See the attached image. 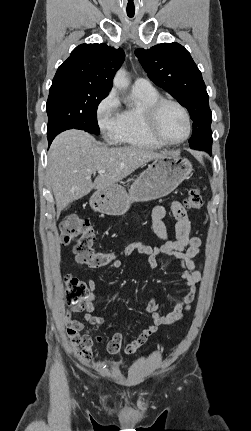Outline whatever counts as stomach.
<instances>
[{
	"instance_id": "obj_1",
	"label": "stomach",
	"mask_w": 251,
	"mask_h": 431,
	"mask_svg": "<svg viewBox=\"0 0 251 431\" xmlns=\"http://www.w3.org/2000/svg\"><path fill=\"white\" fill-rule=\"evenodd\" d=\"M190 163L170 152L154 159L148 168L137 177L127 192L115 184L104 190H97L90 198L91 208L113 216L125 214L133 202L155 200L170 194L177 186L189 178Z\"/></svg>"
}]
</instances>
